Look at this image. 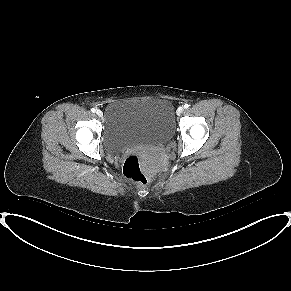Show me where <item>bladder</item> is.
<instances>
[{
  "label": "bladder",
  "mask_w": 291,
  "mask_h": 291,
  "mask_svg": "<svg viewBox=\"0 0 291 291\" xmlns=\"http://www.w3.org/2000/svg\"><path fill=\"white\" fill-rule=\"evenodd\" d=\"M104 144L120 152L139 144H160L174 133V108L165 98L119 100L107 104L104 113Z\"/></svg>",
  "instance_id": "1"
}]
</instances>
